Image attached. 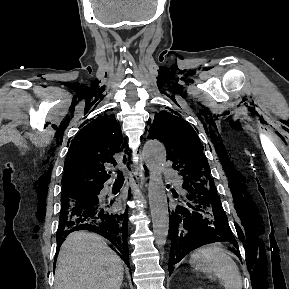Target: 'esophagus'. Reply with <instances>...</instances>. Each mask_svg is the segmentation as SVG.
Masks as SVG:
<instances>
[{
    "label": "esophagus",
    "instance_id": "1",
    "mask_svg": "<svg viewBox=\"0 0 289 289\" xmlns=\"http://www.w3.org/2000/svg\"><path fill=\"white\" fill-rule=\"evenodd\" d=\"M142 172H143V175L145 176V173H146V171H145V169H144V166L142 165ZM146 179V178H145Z\"/></svg>",
    "mask_w": 289,
    "mask_h": 289
}]
</instances>
